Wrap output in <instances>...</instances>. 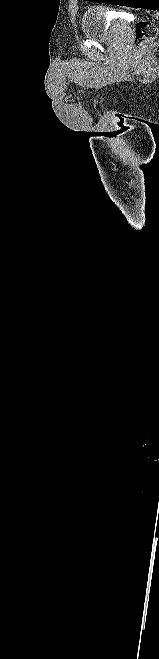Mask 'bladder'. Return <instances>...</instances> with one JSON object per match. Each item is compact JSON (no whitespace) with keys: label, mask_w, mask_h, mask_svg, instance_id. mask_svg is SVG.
I'll list each match as a JSON object with an SVG mask.
<instances>
[{"label":"bladder","mask_w":159,"mask_h":659,"mask_svg":"<svg viewBox=\"0 0 159 659\" xmlns=\"http://www.w3.org/2000/svg\"><path fill=\"white\" fill-rule=\"evenodd\" d=\"M81 27L83 36L90 40H106L118 32L117 25H112V29L107 28V19L105 17V10L89 7L85 10L82 19Z\"/></svg>","instance_id":"obj_1"}]
</instances>
